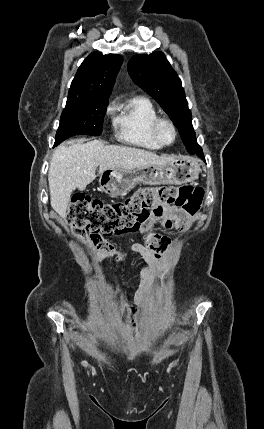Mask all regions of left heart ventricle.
<instances>
[{
	"mask_svg": "<svg viewBox=\"0 0 264 429\" xmlns=\"http://www.w3.org/2000/svg\"><path fill=\"white\" fill-rule=\"evenodd\" d=\"M161 136L166 142H170L173 139V132L168 125L162 126Z\"/></svg>",
	"mask_w": 264,
	"mask_h": 429,
	"instance_id": "b2bd125f",
	"label": "left heart ventricle"
}]
</instances>
